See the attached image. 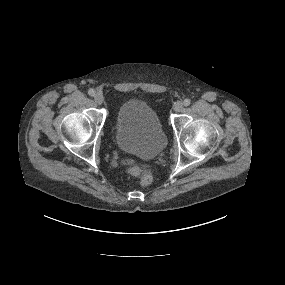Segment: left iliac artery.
I'll return each instance as SVG.
<instances>
[{"mask_svg":"<svg viewBox=\"0 0 285 285\" xmlns=\"http://www.w3.org/2000/svg\"><path fill=\"white\" fill-rule=\"evenodd\" d=\"M183 103H184L185 106H189L191 104V100L190 99H185Z\"/></svg>","mask_w":285,"mask_h":285,"instance_id":"1","label":"left iliac artery"}]
</instances>
